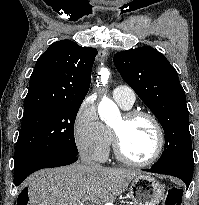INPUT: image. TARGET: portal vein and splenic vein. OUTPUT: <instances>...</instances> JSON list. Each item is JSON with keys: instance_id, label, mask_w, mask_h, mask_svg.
Listing matches in <instances>:
<instances>
[{"instance_id": "portal-vein-and-splenic-vein-1", "label": "portal vein and splenic vein", "mask_w": 199, "mask_h": 205, "mask_svg": "<svg viewBox=\"0 0 199 205\" xmlns=\"http://www.w3.org/2000/svg\"><path fill=\"white\" fill-rule=\"evenodd\" d=\"M90 201H91L92 203H96V204L99 203L98 199H97L96 197H94V196H91V197H90ZM80 205H85V204L82 203V204H80ZM100 205H101V204H100Z\"/></svg>"}]
</instances>
